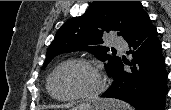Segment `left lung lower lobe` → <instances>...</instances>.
<instances>
[{"label":"left lung lower lobe","instance_id":"0a47b994","mask_svg":"<svg viewBox=\"0 0 171 110\" xmlns=\"http://www.w3.org/2000/svg\"><path fill=\"white\" fill-rule=\"evenodd\" d=\"M127 42L134 52L130 50L131 63H124L131 68L124 70L121 61L112 75V85L102 97L121 99L137 110H165L168 74L161 42L149 16Z\"/></svg>","mask_w":171,"mask_h":110}]
</instances>
